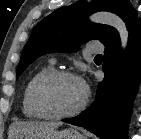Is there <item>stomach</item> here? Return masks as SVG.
Instances as JSON below:
<instances>
[{
	"instance_id": "obj_1",
	"label": "stomach",
	"mask_w": 141,
	"mask_h": 139,
	"mask_svg": "<svg viewBox=\"0 0 141 139\" xmlns=\"http://www.w3.org/2000/svg\"><path fill=\"white\" fill-rule=\"evenodd\" d=\"M14 139H87V136L76 129H65L57 131L55 129L37 130Z\"/></svg>"
}]
</instances>
